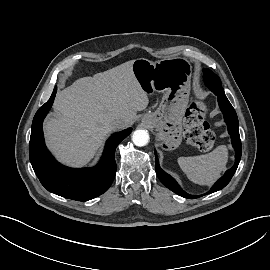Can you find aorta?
<instances>
[{
  "mask_svg": "<svg viewBox=\"0 0 270 270\" xmlns=\"http://www.w3.org/2000/svg\"><path fill=\"white\" fill-rule=\"evenodd\" d=\"M132 141L136 146H145L149 142V133L147 130H136L132 135Z\"/></svg>",
  "mask_w": 270,
  "mask_h": 270,
  "instance_id": "1",
  "label": "aorta"
}]
</instances>
